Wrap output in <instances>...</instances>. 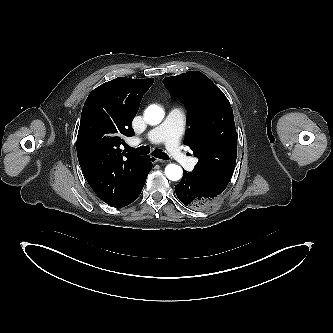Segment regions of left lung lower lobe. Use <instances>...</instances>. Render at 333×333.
<instances>
[{
	"label": "left lung lower lobe",
	"instance_id": "left-lung-lower-lobe-1",
	"mask_svg": "<svg viewBox=\"0 0 333 333\" xmlns=\"http://www.w3.org/2000/svg\"><path fill=\"white\" fill-rule=\"evenodd\" d=\"M178 199L186 206L197 210L210 207L220 196L215 188L197 180L191 172L184 171L178 185H175Z\"/></svg>",
	"mask_w": 333,
	"mask_h": 333
}]
</instances>
